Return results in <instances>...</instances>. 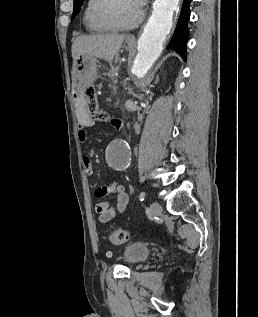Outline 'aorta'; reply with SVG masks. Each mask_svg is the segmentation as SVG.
Instances as JSON below:
<instances>
[{"mask_svg": "<svg viewBox=\"0 0 258 317\" xmlns=\"http://www.w3.org/2000/svg\"><path fill=\"white\" fill-rule=\"evenodd\" d=\"M179 0H155L153 11L138 40L137 55L132 73L142 79L160 56L163 43L173 24V12ZM107 163L115 170H125L130 163L129 147L125 140L115 139L107 148Z\"/></svg>", "mask_w": 258, "mask_h": 317, "instance_id": "obj_1", "label": "aorta"}]
</instances>
